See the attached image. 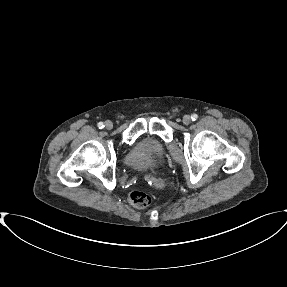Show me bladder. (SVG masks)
<instances>
[{
    "instance_id": "obj_1",
    "label": "bladder",
    "mask_w": 287,
    "mask_h": 287,
    "mask_svg": "<svg viewBox=\"0 0 287 287\" xmlns=\"http://www.w3.org/2000/svg\"><path fill=\"white\" fill-rule=\"evenodd\" d=\"M165 154L163 144L154 138H144L130 152L128 164L138 170H149L160 165Z\"/></svg>"
}]
</instances>
